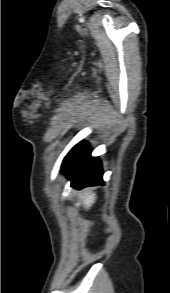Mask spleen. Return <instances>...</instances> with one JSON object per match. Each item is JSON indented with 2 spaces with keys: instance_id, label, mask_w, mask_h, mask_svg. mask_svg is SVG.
Returning a JSON list of instances; mask_svg holds the SVG:
<instances>
[{
  "instance_id": "obj_1",
  "label": "spleen",
  "mask_w": 170,
  "mask_h": 293,
  "mask_svg": "<svg viewBox=\"0 0 170 293\" xmlns=\"http://www.w3.org/2000/svg\"><path fill=\"white\" fill-rule=\"evenodd\" d=\"M80 198L83 199V206L86 209H89L95 203L96 194L86 190L82 195H80Z\"/></svg>"
}]
</instances>
